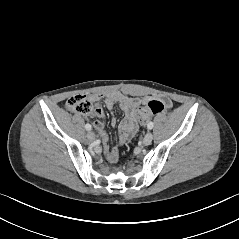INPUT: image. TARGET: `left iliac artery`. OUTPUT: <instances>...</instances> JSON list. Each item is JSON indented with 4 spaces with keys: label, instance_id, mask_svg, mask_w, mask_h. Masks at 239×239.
Returning a JSON list of instances; mask_svg holds the SVG:
<instances>
[{
    "label": "left iliac artery",
    "instance_id": "1",
    "mask_svg": "<svg viewBox=\"0 0 239 239\" xmlns=\"http://www.w3.org/2000/svg\"><path fill=\"white\" fill-rule=\"evenodd\" d=\"M153 126H154V123L153 122H149L148 125H147V128L149 130H151L153 128Z\"/></svg>",
    "mask_w": 239,
    "mask_h": 239
}]
</instances>
